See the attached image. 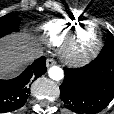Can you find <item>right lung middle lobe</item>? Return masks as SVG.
<instances>
[{"label": "right lung middle lobe", "mask_w": 114, "mask_h": 114, "mask_svg": "<svg viewBox=\"0 0 114 114\" xmlns=\"http://www.w3.org/2000/svg\"><path fill=\"white\" fill-rule=\"evenodd\" d=\"M20 19L16 14H7L0 17V37L14 31H18Z\"/></svg>", "instance_id": "dd1d6c3e"}]
</instances>
